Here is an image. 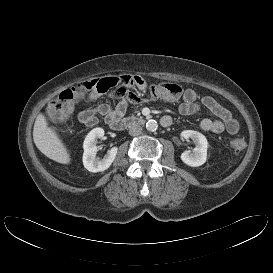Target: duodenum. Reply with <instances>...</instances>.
Instances as JSON below:
<instances>
[{"label": "duodenum", "mask_w": 273, "mask_h": 273, "mask_svg": "<svg viewBox=\"0 0 273 273\" xmlns=\"http://www.w3.org/2000/svg\"><path fill=\"white\" fill-rule=\"evenodd\" d=\"M107 123L111 129L116 131L125 130L132 126H140L146 123V119L143 117H128L119 118L112 115L107 117ZM171 124V121L167 118H161V125L167 127Z\"/></svg>", "instance_id": "duodenum-1"}]
</instances>
